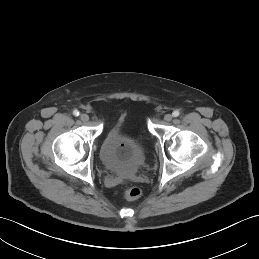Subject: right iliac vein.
<instances>
[{"mask_svg": "<svg viewBox=\"0 0 259 259\" xmlns=\"http://www.w3.org/2000/svg\"><path fill=\"white\" fill-rule=\"evenodd\" d=\"M80 119L83 121V122H86L89 120V116L85 113L81 114L80 115Z\"/></svg>", "mask_w": 259, "mask_h": 259, "instance_id": "1", "label": "right iliac vein"}]
</instances>
